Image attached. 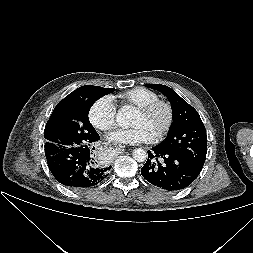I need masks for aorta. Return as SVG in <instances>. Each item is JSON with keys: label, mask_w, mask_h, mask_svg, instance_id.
I'll use <instances>...</instances> for the list:
<instances>
[{"label": "aorta", "mask_w": 253, "mask_h": 253, "mask_svg": "<svg viewBox=\"0 0 253 253\" xmlns=\"http://www.w3.org/2000/svg\"><path fill=\"white\" fill-rule=\"evenodd\" d=\"M116 120L121 127H127L130 124V114L127 109L118 111ZM133 158L137 162H144L147 159V152L141 148H137L133 151Z\"/></svg>", "instance_id": "762f6f07"}]
</instances>
